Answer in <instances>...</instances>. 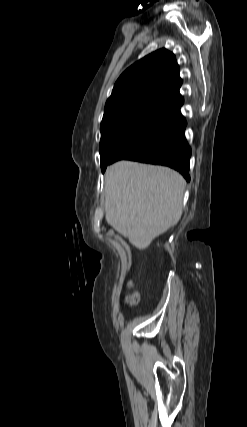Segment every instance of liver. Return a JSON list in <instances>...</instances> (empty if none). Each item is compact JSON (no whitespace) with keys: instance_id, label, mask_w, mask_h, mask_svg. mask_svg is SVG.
<instances>
[{"instance_id":"1","label":"liver","mask_w":247,"mask_h":427,"mask_svg":"<svg viewBox=\"0 0 247 427\" xmlns=\"http://www.w3.org/2000/svg\"><path fill=\"white\" fill-rule=\"evenodd\" d=\"M185 185L168 167L116 162L105 173L106 221L145 249L180 220Z\"/></svg>"}]
</instances>
